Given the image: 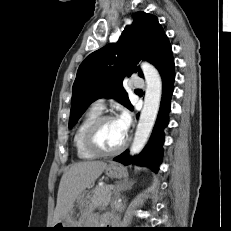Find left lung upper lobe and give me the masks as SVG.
<instances>
[{
    "mask_svg": "<svg viewBox=\"0 0 231 231\" xmlns=\"http://www.w3.org/2000/svg\"><path fill=\"white\" fill-rule=\"evenodd\" d=\"M132 17V25L124 29L117 43L91 53L79 66L73 84L69 128L99 98L113 97L133 109L123 80L137 72L142 77L137 63L142 59L152 63L167 36L157 17L145 12H136Z\"/></svg>",
    "mask_w": 231,
    "mask_h": 231,
    "instance_id": "left-lung-upper-lobe-1",
    "label": "left lung upper lobe"
}]
</instances>
